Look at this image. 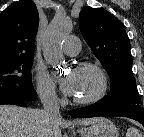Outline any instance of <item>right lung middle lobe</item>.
<instances>
[{"label":"right lung middle lobe","instance_id":"1","mask_svg":"<svg viewBox=\"0 0 144 137\" xmlns=\"http://www.w3.org/2000/svg\"><path fill=\"white\" fill-rule=\"evenodd\" d=\"M33 56L0 63V97L12 96L33 101L37 94L32 85Z\"/></svg>","mask_w":144,"mask_h":137}]
</instances>
